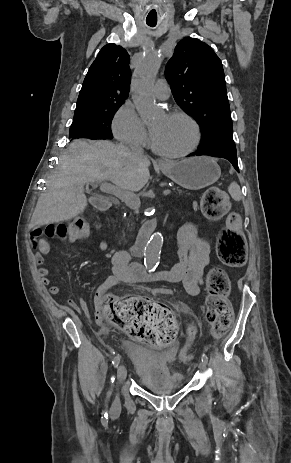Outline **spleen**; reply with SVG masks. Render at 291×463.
<instances>
[{
    "label": "spleen",
    "mask_w": 291,
    "mask_h": 463,
    "mask_svg": "<svg viewBox=\"0 0 291 463\" xmlns=\"http://www.w3.org/2000/svg\"><path fill=\"white\" fill-rule=\"evenodd\" d=\"M229 194L235 201H240L242 198L240 186L234 181L229 185Z\"/></svg>",
    "instance_id": "spleen-1"
}]
</instances>
